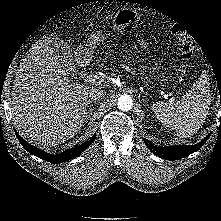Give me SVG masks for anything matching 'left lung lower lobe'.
Masks as SVG:
<instances>
[{"label": "left lung lower lobe", "instance_id": "0a47b994", "mask_svg": "<svg viewBox=\"0 0 221 221\" xmlns=\"http://www.w3.org/2000/svg\"><path fill=\"white\" fill-rule=\"evenodd\" d=\"M211 133L207 135L201 142L195 145H177L169 147H158L153 145L147 139H144L146 146L155 154L156 156L166 159V160H178L186 157L196 151H198L209 139Z\"/></svg>", "mask_w": 221, "mask_h": 221}]
</instances>
